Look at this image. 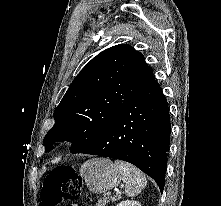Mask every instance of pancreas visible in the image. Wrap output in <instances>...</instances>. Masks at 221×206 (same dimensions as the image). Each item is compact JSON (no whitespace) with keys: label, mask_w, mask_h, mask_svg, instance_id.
I'll use <instances>...</instances> for the list:
<instances>
[{"label":"pancreas","mask_w":221,"mask_h":206,"mask_svg":"<svg viewBox=\"0 0 221 206\" xmlns=\"http://www.w3.org/2000/svg\"><path fill=\"white\" fill-rule=\"evenodd\" d=\"M115 199L116 198L111 199L110 197H107L106 194H104L102 198L98 199V203L96 204V206H106V204L109 203L110 200L114 201Z\"/></svg>","instance_id":"obj_1"}]
</instances>
